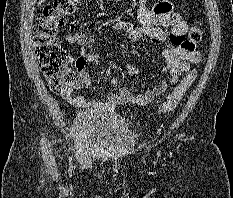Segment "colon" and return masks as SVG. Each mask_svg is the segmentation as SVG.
<instances>
[{"mask_svg": "<svg viewBox=\"0 0 233 198\" xmlns=\"http://www.w3.org/2000/svg\"><path fill=\"white\" fill-rule=\"evenodd\" d=\"M80 2L81 0H54L53 4L44 9L42 17L38 18L33 27V43L39 66L50 89L58 94L72 88L76 77L68 65L66 50L57 39V32L59 28L66 25V18L76 12ZM202 37L201 28L191 27L185 46L194 48L195 43L201 41ZM70 39L84 43L86 37L83 33L78 32L71 34ZM81 63V60L76 61V65ZM196 75V68L189 70L178 86L159 105V112L167 113L175 109L195 80Z\"/></svg>", "mask_w": 233, "mask_h": 198, "instance_id": "colon-1", "label": "colon"}]
</instances>
